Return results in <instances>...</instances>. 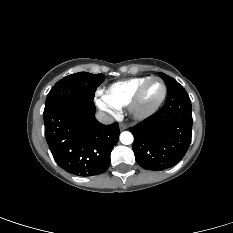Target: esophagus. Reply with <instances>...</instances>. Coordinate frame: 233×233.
<instances>
[{"label": "esophagus", "mask_w": 233, "mask_h": 233, "mask_svg": "<svg viewBox=\"0 0 233 233\" xmlns=\"http://www.w3.org/2000/svg\"><path fill=\"white\" fill-rule=\"evenodd\" d=\"M120 130H125V129H127V126L125 125V124H120Z\"/></svg>", "instance_id": "34e87169"}]
</instances>
